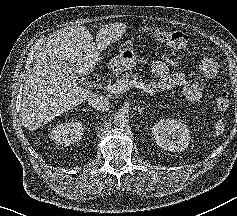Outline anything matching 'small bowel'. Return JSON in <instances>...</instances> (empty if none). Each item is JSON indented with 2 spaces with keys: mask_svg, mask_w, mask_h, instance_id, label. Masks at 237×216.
<instances>
[{
  "mask_svg": "<svg viewBox=\"0 0 237 216\" xmlns=\"http://www.w3.org/2000/svg\"><path fill=\"white\" fill-rule=\"evenodd\" d=\"M152 73L159 79L158 85L161 89L182 88L184 95L191 99L197 100L203 95V86L197 81H189L184 74L173 72L169 67L161 62L156 61L151 66ZM199 71L205 77H213L218 72L217 64L210 58H204L199 64Z\"/></svg>",
  "mask_w": 237,
  "mask_h": 216,
  "instance_id": "obj_1",
  "label": "small bowel"
}]
</instances>
